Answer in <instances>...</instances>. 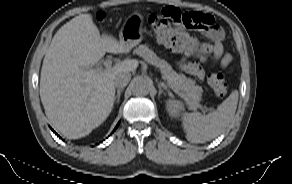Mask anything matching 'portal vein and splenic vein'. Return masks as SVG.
<instances>
[{
    "mask_svg": "<svg viewBox=\"0 0 292 184\" xmlns=\"http://www.w3.org/2000/svg\"><path fill=\"white\" fill-rule=\"evenodd\" d=\"M104 67L105 69H110L112 67V61L110 59H107L104 61ZM90 70H96V71H100V70H103V67L99 66L95 69H90ZM175 93H178L180 95V93L178 92V90H176L175 88L173 87H170ZM205 110L207 111L208 109L205 108Z\"/></svg>",
    "mask_w": 292,
    "mask_h": 184,
    "instance_id": "portal-vein-and-splenic-vein-1",
    "label": "portal vein and splenic vein"
}]
</instances>
